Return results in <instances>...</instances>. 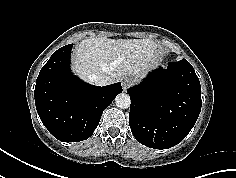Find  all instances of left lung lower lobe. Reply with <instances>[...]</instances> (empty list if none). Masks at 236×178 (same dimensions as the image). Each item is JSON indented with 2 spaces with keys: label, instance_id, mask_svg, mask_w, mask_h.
<instances>
[{
  "label": "left lung lower lobe",
  "instance_id": "1",
  "mask_svg": "<svg viewBox=\"0 0 236 178\" xmlns=\"http://www.w3.org/2000/svg\"><path fill=\"white\" fill-rule=\"evenodd\" d=\"M127 92L132 134L155 149L180 143L196 123L202 106L199 79L185 59L169 63L167 69L153 70Z\"/></svg>",
  "mask_w": 236,
  "mask_h": 178
}]
</instances>
